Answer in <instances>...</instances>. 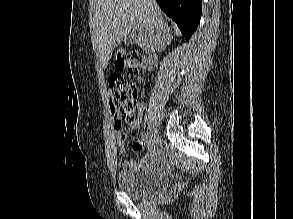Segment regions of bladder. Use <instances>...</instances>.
Instances as JSON below:
<instances>
[{"mask_svg":"<svg viewBox=\"0 0 293 219\" xmlns=\"http://www.w3.org/2000/svg\"><path fill=\"white\" fill-rule=\"evenodd\" d=\"M117 187L132 199H141L164 190L168 179L143 167H128L118 171Z\"/></svg>","mask_w":293,"mask_h":219,"instance_id":"bladder-1","label":"bladder"}]
</instances>
